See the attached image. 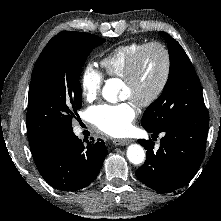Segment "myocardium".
<instances>
[{"mask_svg":"<svg viewBox=\"0 0 221 221\" xmlns=\"http://www.w3.org/2000/svg\"><path fill=\"white\" fill-rule=\"evenodd\" d=\"M151 49H158L162 53L164 58V70L161 80L155 90L147 98L134 101L139 107L142 108L149 107L154 104L162 96L169 83L172 72V57L169 48L164 43L159 41L146 43L134 56L128 65L125 75L122 77L125 84L131 85L136 79L145 54Z\"/></svg>","mask_w":221,"mask_h":221,"instance_id":"myocardium-1","label":"myocardium"}]
</instances>
